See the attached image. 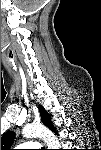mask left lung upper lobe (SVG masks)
<instances>
[{
    "label": "left lung upper lobe",
    "mask_w": 101,
    "mask_h": 150,
    "mask_svg": "<svg viewBox=\"0 0 101 150\" xmlns=\"http://www.w3.org/2000/svg\"><path fill=\"white\" fill-rule=\"evenodd\" d=\"M39 112H40L41 120L43 124L47 126L49 129H51L54 133H56V130L54 126L52 125L50 116L47 113V111L42 106H39ZM14 138H15L14 132H6L1 137V150H8V148L12 145Z\"/></svg>",
    "instance_id": "5c2ea615"
}]
</instances>
